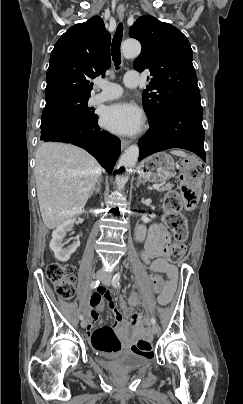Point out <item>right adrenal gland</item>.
I'll use <instances>...</instances> for the list:
<instances>
[{"instance_id": "obj_1", "label": "right adrenal gland", "mask_w": 243, "mask_h": 404, "mask_svg": "<svg viewBox=\"0 0 243 404\" xmlns=\"http://www.w3.org/2000/svg\"><path fill=\"white\" fill-rule=\"evenodd\" d=\"M102 180H103V178H102V176H100V178H99L97 184H95L93 190H91V192H90V194H89V198H92L94 192H95V194H99L100 188H101V182H102Z\"/></svg>"}]
</instances>
